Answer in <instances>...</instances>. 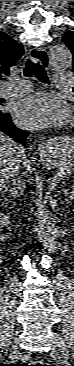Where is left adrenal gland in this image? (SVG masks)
Listing matches in <instances>:
<instances>
[{
	"instance_id": "obj_1",
	"label": "left adrenal gland",
	"mask_w": 74,
	"mask_h": 366,
	"mask_svg": "<svg viewBox=\"0 0 74 366\" xmlns=\"http://www.w3.org/2000/svg\"><path fill=\"white\" fill-rule=\"evenodd\" d=\"M68 190H64V192H65V194H66V196H67V200H68V198H69V193L67 192Z\"/></svg>"
}]
</instances>
